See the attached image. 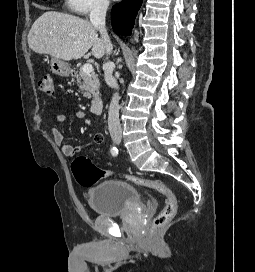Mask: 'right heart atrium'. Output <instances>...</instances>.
Returning a JSON list of instances; mask_svg holds the SVG:
<instances>
[{"label": "right heart atrium", "instance_id": "right-heart-atrium-1", "mask_svg": "<svg viewBox=\"0 0 255 272\" xmlns=\"http://www.w3.org/2000/svg\"><path fill=\"white\" fill-rule=\"evenodd\" d=\"M107 6L108 0H65L66 9L79 15L102 11Z\"/></svg>", "mask_w": 255, "mask_h": 272}]
</instances>
